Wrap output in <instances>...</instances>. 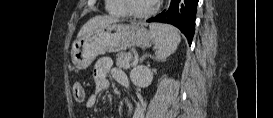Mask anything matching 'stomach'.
Listing matches in <instances>:
<instances>
[{
    "label": "stomach",
    "mask_w": 273,
    "mask_h": 118,
    "mask_svg": "<svg viewBox=\"0 0 273 118\" xmlns=\"http://www.w3.org/2000/svg\"><path fill=\"white\" fill-rule=\"evenodd\" d=\"M153 42L144 26L114 22L77 38L72 45L71 61L76 69L83 70L101 54L122 51L131 46L148 48Z\"/></svg>",
    "instance_id": "0dacf381"
}]
</instances>
